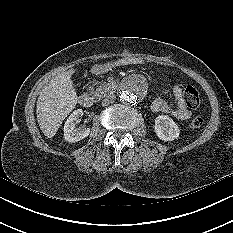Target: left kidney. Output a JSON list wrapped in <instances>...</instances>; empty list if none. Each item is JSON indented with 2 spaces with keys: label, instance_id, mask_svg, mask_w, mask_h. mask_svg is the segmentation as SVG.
Segmentation results:
<instances>
[{
  "label": "left kidney",
  "instance_id": "obj_1",
  "mask_svg": "<svg viewBox=\"0 0 233 233\" xmlns=\"http://www.w3.org/2000/svg\"><path fill=\"white\" fill-rule=\"evenodd\" d=\"M154 131L163 141H173L180 134L178 125L167 115H159L155 118Z\"/></svg>",
  "mask_w": 233,
  "mask_h": 233
}]
</instances>
